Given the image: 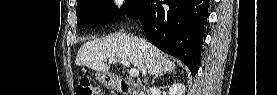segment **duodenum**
<instances>
[{
	"mask_svg": "<svg viewBox=\"0 0 277 95\" xmlns=\"http://www.w3.org/2000/svg\"><path fill=\"white\" fill-rule=\"evenodd\" d=\"M108 80L111 82V86L119 89L122 94L131 95H144V87L141 83L131 82L125 79H115L109 76Z\"/></svg>",
	"mask_w": 277,
	"mask_h": 95,
	"instance_id": "1",
	"label": "duodenum"
}]
</instances>
